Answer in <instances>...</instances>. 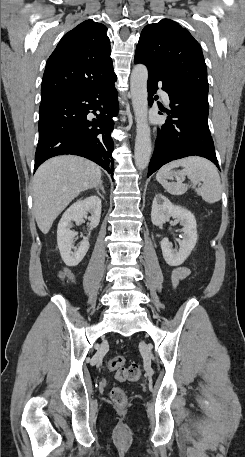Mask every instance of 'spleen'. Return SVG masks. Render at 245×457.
I'll return each mask as SVG.
<instances>
[{
  "label": "spleen",
  "mask_w": 245,
  "mask_h": 457,
  "mask_svg": "<svg viewBox=\"0 0 245 457\" xmlns=\"http://www.w3.org/2000/svg\"><path fill=\"white\" fill-rule=\"evenodd\" d=\"M182 166V170H177L175 174L184 176L187 174L192 184H183V182H168L167 176L174 172L172 168H178ZM156 178L158 182H161L162 186L166 188L170 194H184L189 186L195 188V192L202 196L206 202H217L222 196L221 180L217 166L203 158V156H186V158H179V160H172L168 164H164L162 168H159ZM203 182L199 188H196L198 182Z\"/></svg>",
  "instance_id": "3e777b00"
}]
</instances>
